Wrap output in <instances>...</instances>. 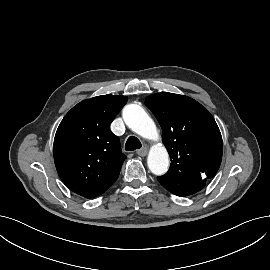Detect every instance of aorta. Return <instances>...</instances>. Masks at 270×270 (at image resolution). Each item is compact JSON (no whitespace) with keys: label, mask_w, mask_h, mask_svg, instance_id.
Masks as SVG:
<instances>
[{"label":"aorta","mask_w":270,"mask_h":270,"mask_svg":"<svg viewBox=\"0 0 270 270\" xmlns=\"http://www.w3.org/2000/svg\"><path fill=\"white\" fill-rule=\"evenodd\" d=\"M123 119L126 125L143 138L155 140L158 132L154 121L146 111L137 104H129L123 110ZM148 167L155 175H163L169 168V155L164 146L151 148L148 159Z\"/></svg>","instance_id":"762f6f07"}]
</instances>
